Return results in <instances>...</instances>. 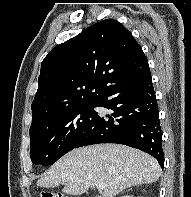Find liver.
<instances>
[{
    "label": "liver",
    "mask_w": 191,
    "mask_h": 197,
    "mask_svg": "<svg viewBox=\"0 0 191 197\" xmlns=\"http://www.w3.org/2000/svg\"><path fill=\"white\" fill-rule=\"evenodd\" d=\"M161 168L149 154L121 144L76 148L53 164L37 181L38 187L64 185L63 192L80 195L101 182L102 196L114 197L124 189L159 179Z\"/></svg>",
    "instance_id": "liver-1"
}]
</instances>
